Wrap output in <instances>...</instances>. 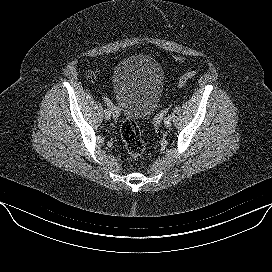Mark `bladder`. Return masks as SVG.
<instances>
[{"instance_id": "bladder-1", "label": "bladder", "mask_w": 272, "mask_h": 272, "mask_svg": "<svg viewBox=\"0 0 272 272\" xmlns=\"http://www.w3.org/2000/svg\"><path fill=\"white\" fill-rule=\"evenodd\" d=\"M164 87V72L151 56L138 54L122 60L115 68L112 90L122 113L138 120L157 108Z\"/></svg>"}]
</instances>
